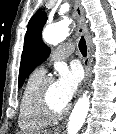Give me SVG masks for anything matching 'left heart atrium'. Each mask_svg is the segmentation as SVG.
<instances>
[{"instance_id": "1", "label": "left heart atrium", "mask_w": 116, "mask_h": 134, "mask_svg": "<svg viewBox=\"0 0 116 134\" xmlns=\"http://www.w3.org/2000/svg\"><path fill=\"white\" fill-rule=\"evenodd\" d=\"M81 69L73 65L70 68L62 67L59 69L58 79L55 82L61 102L66 106L75 95L81 81Z\"/></svg>"}]
</instances>
